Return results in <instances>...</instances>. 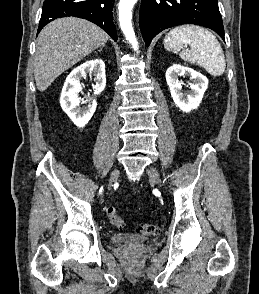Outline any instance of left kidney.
Returning a JSON list of instances; mask_svg holds the SVG:
<instances>
[{
    "instance_id": "5707ae66",
    "label": "left kidney",
    "mask_w": 259,
    "mask_h": 294,
    "mask_svg": "<svg viewBox=\"0 0 259 294\" xmlns=\"http://www.w3.org/2000/svg\"><path fill=\"white\" fill-rule=\"evenodd\" d=\"M184 75H189L193 79L188 94H183L182 83L178 79ZM165 76L173 101L180 110L188 113L200 105L208 87V79L204 75L189 67L174 64L167 69Z\"/></svg>"
}]
</instances>
